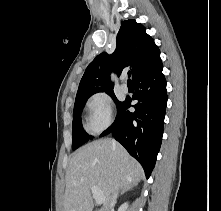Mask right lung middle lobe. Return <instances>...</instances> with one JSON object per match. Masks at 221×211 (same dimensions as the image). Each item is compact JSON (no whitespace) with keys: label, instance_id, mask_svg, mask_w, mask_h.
Instances as JSON below:
<instances>
[{"label":"right lung middle lobe","instance_id":"dd1d6c3e","mask_svg":"<svg viewBox=\"0 0 221 211\" xmlns=\"http://www.w3.org/2000/svg\"><path fill=\"white\" fill-rule=\"evenodd\" d=\"M112 97L117 105V109L121 106L122 102L118 101L113 93V91L106 92ZM93 94L84 95L82 97L76 98L74 111H73V125H72V149L75 150L89 140V135L85 132L81 123V112L86 103L87 99ZM91 138V137H90Z\"/></svg>","mask_w":221,"mask_h":211}]
</instances>
